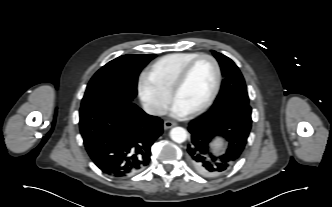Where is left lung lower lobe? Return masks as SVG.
<instances>
[{
    "instance_id": "left-lung-lower-lobe-1",
    "label": "left lung lower lobe",
    "mask_w": 332,
    "mask_h": 207,
    "mask_svg": "<svg viewBox=\"0 0 332 207\" xmlns=\"http://www.w3.org/2000/svg\"><path fill=\"white\" fill-rule=\"evenodd\" d=\"M251 107L246 103H229L211 109L189 123L191 141L187 147L188 160L199 174L215 177L228 171L241 157L251 130ZM227 141L220 156L211 152L215 137Z\"/></svg>"
}]
</instances>
